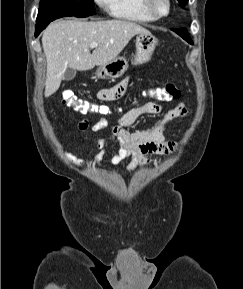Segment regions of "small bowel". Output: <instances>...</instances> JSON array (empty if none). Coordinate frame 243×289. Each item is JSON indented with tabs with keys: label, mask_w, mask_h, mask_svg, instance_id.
Segmentation results:
<instances>
[{
	"label": "small bowel",
	"mask_w": 243,
	"mask_h": 289,
	"mask_svg": "<svg viewBox=\"0 0 243 289\" xmlns=\"http://www.w3.org/2000/svg\"><path fill=\"white\" fill-rule=\"evenodd\" d=\"M129 78H126L118 85L103 89L98 93L99 99L103 101H114L120 98L127 90ZM163 110L161 104L149 102L142 106L131 109L122 114L111 126V141L117 146V152L110 155L109 160L112 164H119L126 159L134 163L143 165L149 164V155L154 154H172L177 149V142L166 139V131L179 117L187 113L184 103H179L168 110L158 123L148 130L129 131L127 128L133 125L139 118L145 115H157ZM107 121L101 118L96 123L90 124L88 120L83 119L78 122L77 127L82 131L98 132L106 127ZM98 151L94 155L93 164L100 165L104 153L100 150L103 146L101 140L94 139ZM79 164H84L82 160H76Z\"/></svg>",
	"instance_id": "obj_1"
}]
</instances>
